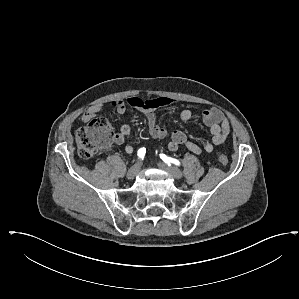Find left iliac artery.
Instances as JSON below:
<instances>
[{
  "label": "left iliac artery",
  "mask_w": 299,
  "mask_h": 299,
  "mask_svg": "<svg viewBox=\"0 0 299 299\" xmlns=\"http://www.w3.org/2000/svg\"><path fill=\"white\" fill-rule=\"evenodd\" d=\"M160 158L165 162V163H173L177 166H180V161L171 157L166 156L165 154H160Z\"/></svg>",
  "instance_id": "44dca946"
}]
</instances>
